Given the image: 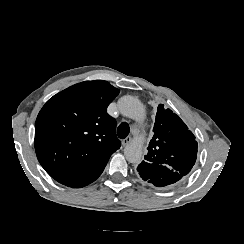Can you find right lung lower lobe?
<instances>
[{"mask_svg":"<svg viewBox=\"0 0 244 244\" xmlns=\"http://www.w3.org/2000/svg\"><path fill=\"white\" fill-rule=\"evenodd\" d=\"M104 168H103V170H104ZM103 170H101L99 173L96 174V177H95V179L93 181H95L101 175V173L103 172ZM93 181H91V182H93ZM90 183L82 184L81 182H79L77 180H73V181L66 182L64 185L69 186V187L79 188V187L86 186V185H88Z\"/></svg>","mask_w":244,"mask_h":244,"instance_id":"obj_1","label":"right lung lower lobe"}]
</instances>
